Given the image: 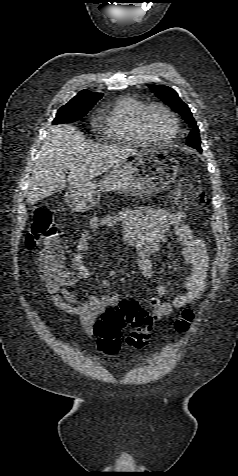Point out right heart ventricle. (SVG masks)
Returning a JSON list of instances; mask_svg holds the SVG:
<instances>
[{"instance_id":"obj_1","label":"right heart ventricle","mask_w":238,"mask_h":476,"mask_svg":"<svg viewBox=\"0 0 238 476\" xmlns=\"http://www.w3.org/2000/svg\"><path fill=\"white\" fill-rule=\"evenodd\" d=\"M145 103L124 95L116 98L110 105L103 124L107 139L113 143L144 146L148 141L138 127V115Z\"/></svg>"}]
</instances>
